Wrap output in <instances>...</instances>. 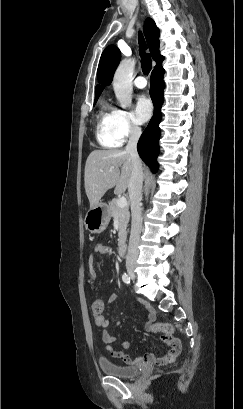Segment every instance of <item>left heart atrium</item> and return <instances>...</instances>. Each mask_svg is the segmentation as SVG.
<instances>
[{"label":"left heart atrium","instance_id":"1","mask_svg":"<svg viewBox=\"0 0 243 409\" xmlns=\"http://www.w3.org/2000/svg\"><path fill=\"white\" fill-rule=\"evenodd\" d=\"M152 111L153 107L150 99L145 94L138 95L133 110L135 122L138 124L146 122L151 117Z\"/></svg>","mask_w":243,"mask_h":409}]
</instances>
